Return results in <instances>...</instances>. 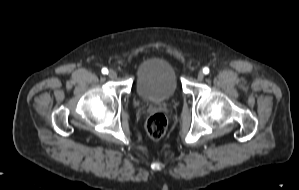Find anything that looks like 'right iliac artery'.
I'll list each match as a JSON object with an SVG mask.
<instances>
[{
  "label": "right iliac artery",
  "instance_id": "1",
  "mask_svg": "<svg viewBox=\"0 0 299 190\" xmlns=\"http://www.w3.org/2000/svg\"><path fill=\"white\" fill-rule=\"evenodd\" d=\"M102 73H103V74H108V69H107V68H103V69H102Z\"/></svg>",
  "mask_w": 299,
  "mask_h": 190
}]
</instances>
